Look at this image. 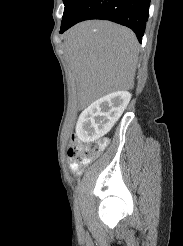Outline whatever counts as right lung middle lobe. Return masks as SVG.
I'll list each match as a JSON object with an SVG mask.
<instances>
[{"label":"right lung middle lobe","mask_w":183,"mask_h":246,"mask_svg":"<svg viewBox=\"0 0 183 246\" xmlns=\"http://www.w3.org/2000/svg\"><path fill=\"white\" fill-rule=\"evenodd\" d=\"M80 0H63L64 2V14L62 22L66 21L67 18L71 15L73 10L75 9L76 5L79 3Z\"/></svg>","instance_id":"dd1d6c3e"}]
</instances>
